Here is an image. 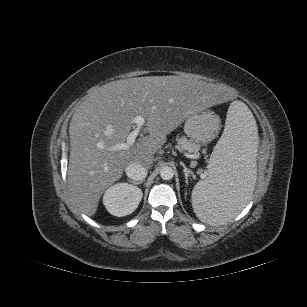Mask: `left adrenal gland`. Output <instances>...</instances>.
Listing matches in <instances>:
<instances>
[{
    "label": "left adrenal gland",
    "mask_w": 307,
    "mask_h": 307,
    "mask_svg": "<svg viewBox=\"0 0 307 307\" xmlns=\"http://www.w3.org/2000/svg\"><path fill=\"white\" fill-rule=\"evenodd\" d=\"M181 165H182V167H183V171H184V174H185V179H186V184H188V178H189V176H192V177H194V175H193V172L191 171V170H189L186 166H185V164L184 163H180Z\"/></svg>",
    "instance_id": "1"
}]
</instances>
